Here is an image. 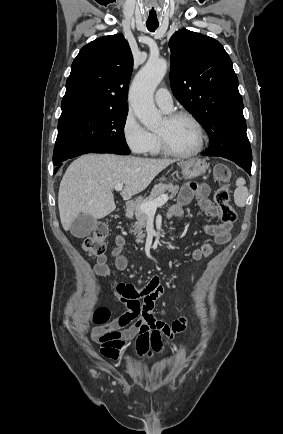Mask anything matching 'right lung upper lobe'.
Here are the masks:
<instances>
[{
    "label": "right lung upper lobe",
    "mask_w": 283,
    "mask_h": 434,
    "mask_svg": "<svg viewBox=\"0 0 283 434\" xmlns=\"http://www.w3.org/2000/svg\"><path fill=\"white\" fill-rule=\"evenodd\" d=\"M133 56L122 34L100 37L81 48L72 63L62 116L128 109Z\"/></svg>",
    "instance_id": "1"
}]
</instances>
